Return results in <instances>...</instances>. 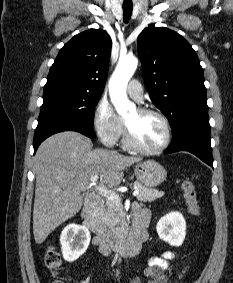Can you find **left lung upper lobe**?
<instances>
[{
  "label": "left lung upper lobe",
  "mask_w": 233,
  "mask_h": 283,
  "mask_svg": "<svg viewBox=\"0 0 233 283\" xmlns=\"http://www.w3.org/2000/svg\"><path fill=\"white\" fill-rule=\"evenodd\" d=\"M137 47L150 98L168 118L173 136L193 123H209L203 68L186 39L150 26Z\"/></svg>",
  "instance_id": "obj_1"
}]
</instances>
